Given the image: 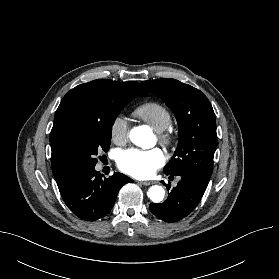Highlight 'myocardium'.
<instances>
[{
	"instance_id": "f54148a6",
	"label": "myocardium",
	"mask_w": 279,
	"mask_h": 279,
	"mask_svg": "<svg viewBox=\"0 0 279 279\" xmlns=\"http://www.w3.org/2000/svg\"><path fill=\"white\" fill-rule=\"evenodd\" d=\"M159 142L168 147L173 143V134L170 127L163 129L161 131H157Z\"/></svg>"
}]
</instances>
